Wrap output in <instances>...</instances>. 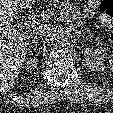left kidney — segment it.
<instances>
[{"instance_id":"left-kidney-1","label":"left kidney","mask_w":113,"mask_h":113,"mask_svg":"<svg viewBox=\"0 0 113 113\" xmlns=\"http://www.w3.org/2000/svg\"><path fill=\"white\" fill-rule=\"evenodd\" d=\"M105 50L100 48L94 47H86L83 50V56L86 61L87 66L93 71H103V62H104V55Z\"/></svg>"}]
</instances>
